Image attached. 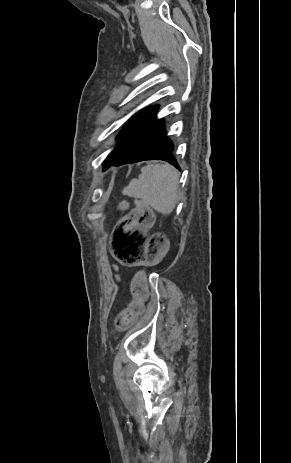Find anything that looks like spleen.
Returning <instances> with one entry per match:
<instances>
[{
  "mask_svg": "<svg viewBox=\"0 0 291 463\" xmlns=\"http://www.w3.org/2000/svg\"><path fill=\"white\" fill-rule=\"evenodd\" d=\"M179 173L168 164H148L141 168L138 179H132L123 194L140 198L155 211L169 215L173 212L179 191Z\"/></svg>",
  "mask_w": 291,
  "mask_h": 463,
  "instance_id": "3e777b00",
  "label": "spleen"
}]
</instances>
